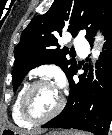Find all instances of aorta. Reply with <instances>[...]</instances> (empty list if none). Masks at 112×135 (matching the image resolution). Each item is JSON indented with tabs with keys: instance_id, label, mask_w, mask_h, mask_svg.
Listing matches in <instances>:
<instances>
[{
	"instance_id": "762f6f07",
	"label": "aorta",
	"mask_w": 112,
	"mask_h": 135,
	"mask_svg": "<svg viewBox=\"0 0 112 135\" xmlns=\"http://www.w3.org/2000/svg\"><path fill=\"white\" fill-rule=\"evenodd\" d=\"M102 40H103V37L101 36V34H98L95 39L96 50L93 51V56L95 58H97L100 54V47H98V43L101 42Z\"/></svg>"
}]
</instances>
